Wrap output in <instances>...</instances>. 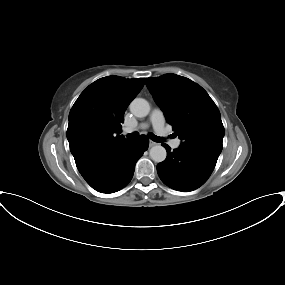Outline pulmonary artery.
I'll return each instance as SVG.
<instances>
[{"mask_svg": "<svg viewBox=\"0 0 285 285\" xmlns=\"http://www.w3.org/2000/svg\"><path fill=\"white\" fill-rule=\"evenodd\" d=\"M150 124L153 126V129L156 132V134L162 137L164 140H166L172 148L174 149L179 148L181 141L179 139L171 138L169 136V133L165 127L164 115L160 109H154L150 114L149 121L146 123H142L140 125V128L145 129ZM131 131L132 129L130 128L126 129V132H131Z\"/></svg>", "mask_w": 285, "mask_h": 285, "instance_id": "1", "label": "pulmonary artery"}]
</instances>
